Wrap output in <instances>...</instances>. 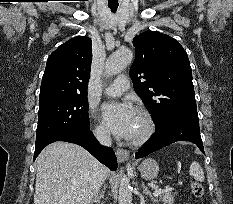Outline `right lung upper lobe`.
Instances as JSON below:
<instances>
[{"label": "right lung upper lobe", "mask_w": 233, "mask_h": 204, "mask_svg": "<svg viewBox=\"0 0 233 204\" xmlns=\"http://www.w3.org/2000/svg\"><path fill=\"white\" fill-rule=\"evenodd\" d=\"M92 62V40L76 36L60 45L47 59L39 101L87 96Z\"/></svg>", "instance_id": "obj_1"}]
</instances>
